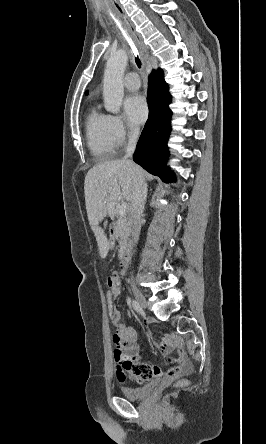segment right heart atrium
<instances>
[{"mask_svg": "<svg viewBox=\"0 0 266 444\" xmlns=\"http://www.w3.org/2000/svg\"><path fill=\"white\" fill-rule=\"evenodd\" d=\"M108 117L111 135L116 145H122L128 137L135 134V130L130 128L122 117L116 115Z\"/></svg>", "mask_w": 266, "mask_h": 444, "instance_id": "1", "label": "right heart atrium"}]
</instances>
